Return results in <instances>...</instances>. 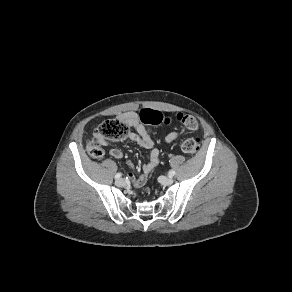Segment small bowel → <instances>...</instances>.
Returning <instances> with one entry per match:
<instances>
[{
  "label": "small bowel",
  "mask_w": 292,
  "mask_h": 292,
  "mask_svg": "<svg viewBox=\"0 0 292 292\" xmlns=\"http://www.w3.org/2000/svg\"><path fill=\"white\" fill-rule=\"evenodd\" d=\"M119 120L124 121L127 126L135 129L136 132L130 133L127 136V139L137 145L149 150V161L143 164L142 173L139 175H135L133 173L128 174V178L132 181L136 188H141L145 185L147 181V174L150 173L155 167L158 166L160 162V153L158 148L156 147L155 141L150 136L148 131L146 130L143 122L140 119L138 113L134 111L126 112L118 117ZM179 136L177 131H172L168 133L165 137L166 143H172ZM107 140H102L101 145H107ZM110 156L116 159H122L123 153L121 150L113 148L109 151ZM128 165L133 167L134 164L131 161H128Z\"/></svg>",
  "instance_id": "small-bowel-1"
}]
</instances>
